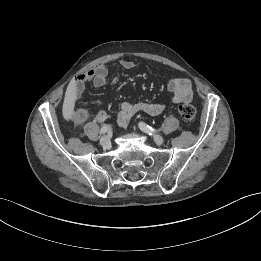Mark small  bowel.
<instances>
[{"label":"small bowel","mask_w":261,"mask_h":261,"mask_svg":"<svg viewBox=\"0 0 261 261\" xmlns=\"http://www.w3.org/2000/svg\"><path fill=\"white\" fill-rule=\"evenodd\" d=\"M121 68L131 70L136 68V64L130 60H122ZM108 76V69L106 65L101 64L95 68L87 71L84 74L77 76L69 86L67 90V97L70 103L75 104L82 96L85 85L87 82H92L97 88L103 87L106 84ZM118 81V77H115L112 84ZM168 91L172 94L171 101L175 104L189 103L193 99V90L191 81L187 78H171L167 84ZM165 109L164 103H130L123 102L120 105L119 112L117 114V122L120 126H126L131 118L137 113H144L150 116H156L162 113ZM111 118V115L104 111L99 110L96 113L95 120L98 123H105ZM72 121L76 122L75 116H72Z\"/></svg>","instance_id":"c3829d8e"}]
</instances>
